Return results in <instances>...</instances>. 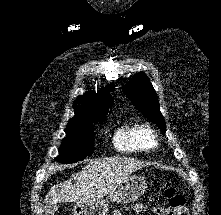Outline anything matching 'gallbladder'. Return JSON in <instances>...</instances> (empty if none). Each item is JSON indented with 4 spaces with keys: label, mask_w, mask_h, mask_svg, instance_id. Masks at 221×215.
Masks as SVG:
<instances>
[{
    "label": "gallbladder",
    "mask_w": 221,
    "mask_h": 215,
    "mask_svg": "<svg viewBox=\"0 0 221 215\" xmlns=\"http://www.w3.org/2000/svg\"><path fill=\"white\" fill-rule=\"evenodd\" d=\"M58 205L57 204H46L45 206V215H54L57 211Z\"/></svg>",
    "instance_id": "gallbladder-1"
}]
</instances>
